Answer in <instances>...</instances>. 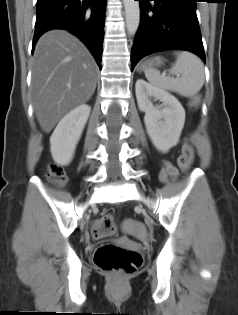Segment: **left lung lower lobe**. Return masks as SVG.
<instances>
[{
  "label": "left lung lower lobe",
  "mask_w": 238,
  "mask_h": 315,
  "mask_svg": "<svg viewBox=\"0 0 238 315\" xmlns=\"http://www.w3.org/2000/svg\"><path fill=\"white\" fill-rule=\"evenodd\" d=\"M137 1L140 2L141 14L131 51V70L143 57L170 49L193 52L205 62L196 15L197 0Z\"/></svg>",
  "instance_id": "0a47b994"
}]
</instances>
